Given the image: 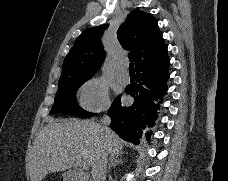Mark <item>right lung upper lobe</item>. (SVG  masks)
Masks as SVG:
<instances>
[{
	"label": "right lung upper lobe",
	"instance_id": "right-lung-upper-lobe-1",
	"mask_svg": "<svg viewBox=\"0 0 228 181\" xmlns=\"http://www.w3.org/2000/svg\"><path fill=\"white\" fill-rule=\"evenodd\" d=\"M108 24L86 29L75 41L63 62L59 83L88 80L101 66L105 51L101 44ZM118 40L135 67L165 47L158 21L150 13L132 11L117 31ZM58 83V84H59Z\"/></svg>",
	"mask_w": 228,
	"mask_h": 181
}]
</instances>
